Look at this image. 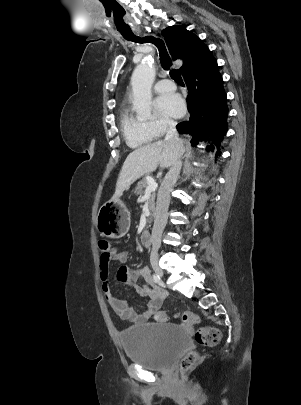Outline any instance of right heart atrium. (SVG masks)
Instances as JSON below:
<instances>
[{"mask_svg":"<svg viewBox=\"0 0 301 405\" xmlns=\"http://www.w3.org/2000/svg\"><path fill=\"white\" fill-rule=\"evenodd\" d=\"M172 124L173 122L166 117H159L148 122L149 128L156 136L163 134Z\"/></svg>","mask_w":301,"mask_h":405,"instance_id":"d8ad5b80","label":"right heart atrium"}]
</instances>
